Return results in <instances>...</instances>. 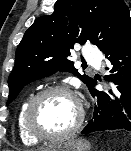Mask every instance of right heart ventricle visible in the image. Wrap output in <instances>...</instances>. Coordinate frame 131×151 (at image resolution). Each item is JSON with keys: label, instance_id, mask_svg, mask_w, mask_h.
I'll use <instances>...</instances> for the list:
<instances>
[{"label": "right heart ventricle", "instance_id": "1", "mask_svg": "<svg viewBox=\"0 0 131 151\" xmlns=\"http://www.w3.org/2000/svg\"><path fill=\"white\" fill-rule=\"evenodd\" d=\"M31 99V96L26 97L18 110V114H17V130H18V134L19 137L21 139V141L26 144V145H34L38 142V140L34 139L33 137H31L28 132L26 131L25 125H24V114H25V110L27 108V105L29 103Z\"/></svg>", "mask_w": 131, "mask_h": 151}]
</instances>
